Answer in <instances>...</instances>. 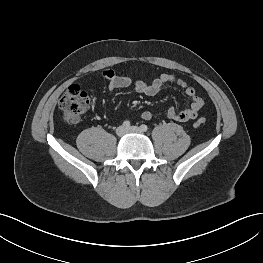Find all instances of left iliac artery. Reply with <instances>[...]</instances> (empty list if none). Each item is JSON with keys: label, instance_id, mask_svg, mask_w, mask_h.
Returning a JSON list of instances; mask_svg holds the SVG:
<instances>
[{"label": "left iliac artery", "instance_id": "obj_1", "mask_svg": "<svg viewBox=\"0 0 263 263\" xmlns=\"http://www.w3.org/2000/svg\"><path fill=\"white\" fill-rule=\"evenodd\" d=\"M140 129H141L143 132H146V131L148 130V127H147V125L142 124V125L140 126Z\"/></svg>", "mask_w": 263, "mask_h": 263}]
</instances>
